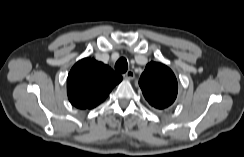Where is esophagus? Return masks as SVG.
Masks as SVG:
<instances>
[{"label": "esophagus", "instance_id": "esophagus-1", "mask_svg": "<svg viewBox=\"0 0 244 157\" xmlns=\"http://www.w3.org/2000/svg\"><path fill=\"white\" fill-rule=\"evenodd\" d=\"M124 79L132 80L135 77V74L132 70H128L126 73L123 74Z\"/></svg>", "mask_w": 244, "mask_h": 157}]
</instances>
